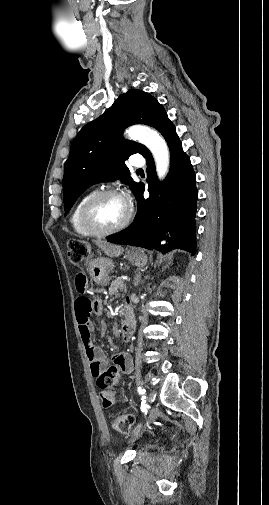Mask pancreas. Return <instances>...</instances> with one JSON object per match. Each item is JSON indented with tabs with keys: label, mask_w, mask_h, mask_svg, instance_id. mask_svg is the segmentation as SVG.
Masks as SVG:
<instances>
[{
	"label": "pancreas",
	"mask_w": 269,
	"mask_h": 505,
	"mask_svg": "<svg viewBox=\"0 0 269 505\" xmlns=\"http://www.w3.org/2000/svg\"><path fill=\"white\" fill-rule=\"evenodd\" d=\"M123 285H124L123 280L121 278H117L111 283L109 288V294L110 295L116 294L119 290L123 289L122 288Z\"/></svg>",
	"instance_id": "1"
}]
</instances>
